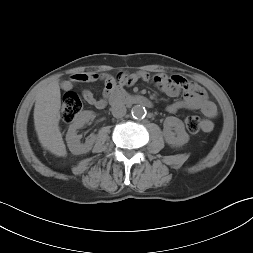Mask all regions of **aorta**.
<instances>
[{"label":"aorta","mask_w":253,"mask_h":253,"mask_svg":"<svg viewBox=\"0 0 253 253\" xmlns=\"http://www.w3.org/2000/svg\"><path fill=\"white\" fill-rule=\"evenodd\" d=\"M131 113L134 118L140 119L146 115V109L142 105H135L132 107Z\"/></svg>","instance_id":"obj_1"}]
</instances>
